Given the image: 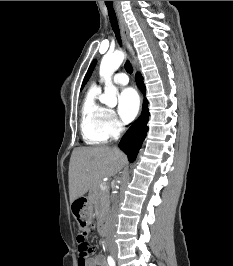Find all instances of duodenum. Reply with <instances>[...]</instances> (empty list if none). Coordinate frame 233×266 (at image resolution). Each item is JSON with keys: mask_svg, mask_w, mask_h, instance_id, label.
Instances as JSON below:
<instances>
[{"mask_svg": "<svg viewBox=\"0 0 233 266\" xmlns=\"http://www.w3.org/2000/svg\"><path fill=\"white\" fill-rule=\"evenodd\" d=\"M98 229H99L101 234H103V235L106 234V226H105V224H104L102 219H100L99 222H98Z\"/></svg>", "mask_w": 233, "mask_h": 266, "instance_id": "duodenum-1", "label": "duodenum"}]
</instances>
